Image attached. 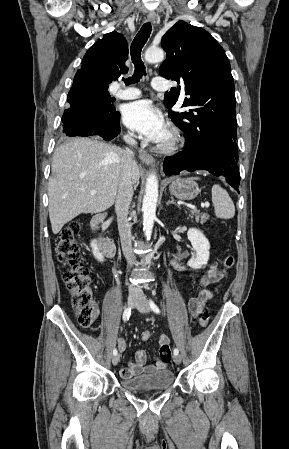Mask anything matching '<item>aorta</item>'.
I'll use <instances>...</instances> for the list:
<instances>
[{"label": "aorta", "mask_w": 289, "mask_h": 449, "mask_svg": "<svg viewBox=\"0 0 289 449\" xmlns=\"http://www.w3.org/2000/svg\"><path fill=\"white\" fill-rule=\"evenodd\" d=\"M164 51L161 48H148L145 52V60L148 63H157L164 60ZM158 199V180L155 174L148 176L146 180L145 195L143 198V230L147 240L150 239L154 220L156 218V205Z\"/></svg>", "instance_id": "762f6f07"}]
</instances>
